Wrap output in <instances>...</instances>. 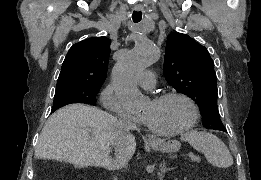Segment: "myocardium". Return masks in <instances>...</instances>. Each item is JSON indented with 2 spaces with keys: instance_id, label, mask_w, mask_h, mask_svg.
<instances>
[{
  "instance_id": "1",
  "label": "myocardium",
  "mask_w": 261,
  "mask_h": 180,
  "mask_svg": "<svg viewBox=\"0 0 261 180\" xmlns=\"http://www.w3.org/2000/svg\"><path fill=\"white\" fill-rule=\"evenodd\" d=\"M169 97H179V98L183 99L190 107V118H189L186 126L180 132H178L176 134L168 135V136H163V137L153 135L149 131L147 126L139 120L140 128H141L143 135L150 140H158V139L177 140V139H181L186 134H188V132L194 127V125L197 122L198 115H199L198 105H197L196 101L190 95H188L186 92H183L181 90H167V91H163V92H160V93L153 94L151 99L154 100V101H157V100H162V99H166V98H169Z\"/></svg>"
}]
</instances>
